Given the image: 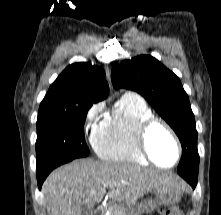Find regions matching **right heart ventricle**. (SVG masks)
Returning <instances> with one entry per match:
<instances>
[{
    "label": "right heart ventricle",
    "mask_w": 221,
    "mask_h": 215,
    "mask_svg": "<svg viewBox=\"0 0 221 215\" xmlns=\"http://www.w3.org/2000/svg\"><path fill=\"white\" fill-rule=\"evenodd\" d=\"M153 116L142 97L130 93L123 95L94 130L95 152L105 160L147 165L148 161L137 149L135 133L143 121Z\"/></svg>",
    "instance_id": "1"
}]
</instances>
